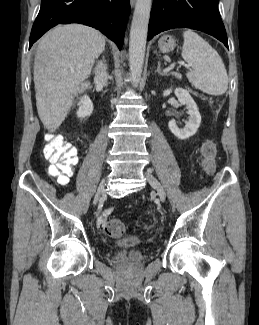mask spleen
<instances>
[{"label":"spleen","mask_w":259,"mask_h":325,"mask_svg":"<svg viewBox=\"0 0 259 325\" xmlns=\"http://www.w3.org/2000/svg\"><path fill=\"white\" fill-rule=\"evenodd\" d=\"M182 57L192 68L187 78L209 95H222L228 89V76L218 52L192 30L183 32Z\"/></svg>","instance_id":"spleen-1"}]
</instances>
